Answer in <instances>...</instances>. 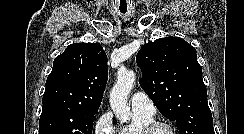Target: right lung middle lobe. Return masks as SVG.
Returning a JSON list of instances; mask_svg holds the SVG:
<instances>
[{"mask_svg":"<svg viewBox=\"0 0 244 134\" xmlns=\"http://www.w3.org/2000/svg\"><path fill=\"white\" fill-rule=\"evenodd\" d=\"M96 112L62 102L45 103L39 134H92Z\"/></svg>","mask_w":244,"mask_h":134,"instance_id":"1","label":"right lung middle lobe"}]
</instances>
